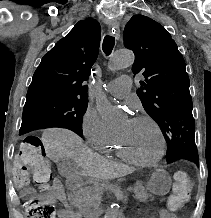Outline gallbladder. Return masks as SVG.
<instances>
[{
    "label": "gallbladder",
    "instance_id": "obj_1",
    "mask_svg": "<svg viewBox=\"0 0 211 218\" xmlns=\"http://www.w3.org/2000/svg\"><path fill=\"white\" fill-rule=\"evenodd\" d=\"M57 168L60 176H63V178L79 175L80 171L82 170V167L76 166L75 162L70 160V158H63V160H60V162L57 164Z\"/></svg>",
    "mask_w": 211,
    "mask_h": 218
}]
</instances>
